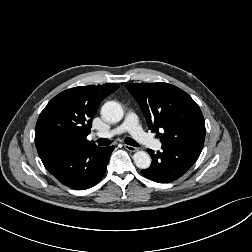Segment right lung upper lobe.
Listing matches in <instances>:
<instances>
[{
  "label": "right lung upper lobe",
  "mask_w": 252,
  "mask_h": 252,
  "mask_svg": "<svg viewBox=\"0 0 252 252\" xmlns=\"http://www.w3.org/2000/svg\"><path fill=\"white\" fill-rule=\"evenodd\" d=\"M119 88L116 84L67 89L41 112L35 127V144L41 159L59 149L96 146L86 139L101 101Z\"/></svg>",
  "instance_id": "cb5924a9"
}]
</instances>
